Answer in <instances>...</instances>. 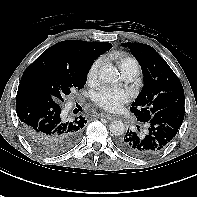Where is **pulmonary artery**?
<instances>
[{"instance_id": "1", "label": "pulmonary artery", "mask_w": 197, "mask_h": 197, "mask_svg": "<svg viewBox=\"0 0 197 197\" xmlns=\"http://www.w3.org/2000/svg\"><path fill=\"white\" fill-rule=\"evenodd\" d=\"M138 74L135 72H127L123 74L126 81H132Z\"/></svg>"}]
</instances>
